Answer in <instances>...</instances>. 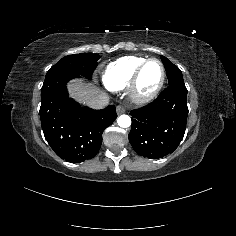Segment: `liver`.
<instances>
[{
  "instance_id": "liver-1",
  "label": "liver",
  "mask_w": 236,
  "mask_h": 236,
  "mask_svg": "<svg viewBox=\"0 0 236 236\" xmlns=\"http://www.w3.org/2000/svg\"><path fill=\"white\" fill-rule=\"evenodd\" d=\"M67 97L77 104H84L93 97L108 95L106 91L97 87H92L90 83H85L83 79L72 77L64 83Z\"/></svg>"
}]
</instances>
